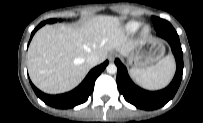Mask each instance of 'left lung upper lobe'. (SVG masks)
Segmentation results:
<instances>
[{"instance_id":"1","label":"left lung upper lobe","mask_w":203,"mask_h":123,"mask_svg":"<svg viewBox=\"0 0 203 123\" xmlns=\"http://www.w3.org/2000/svg\"><path fill=\"white\" fill-rule=\"evenodd\" d=\"M152 21L154 23V28L156 30H158L159 28H162L164 26H170L171 25L168 21L160 19L158 17H152Z\"/></svg>"}]
</instances>
